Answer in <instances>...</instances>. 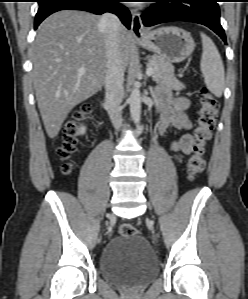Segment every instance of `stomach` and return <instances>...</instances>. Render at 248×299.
<instances>
[{"mask_svg": "<svg viewBox=\"0 0 248 299\" xmlns=\"http://www.w3.org/2000/svg\"><path fill=\"white\" fill-rule=\"evenodd\" d=\"M138 42L147 50L169 61L179 63L194 50L195 44L190 33L184 29L169 26L148 32Z\"/></svg>", "mask_w": 248, "mask_h": 299, "instance_id": "obj_1", "label": "stomach"}]
</instances>
